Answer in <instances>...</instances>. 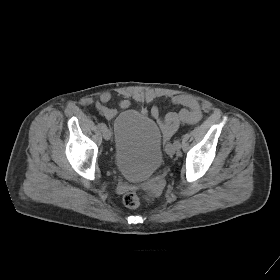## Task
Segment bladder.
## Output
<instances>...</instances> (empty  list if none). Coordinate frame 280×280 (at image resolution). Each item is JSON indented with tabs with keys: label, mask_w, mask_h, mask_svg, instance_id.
<instances>
[{
	"label": "bladder",
	"mask_w": 280,
	"mask_h": 280,
	"mask_svg": "<svg viewBox=\"0 0 280 280\" xmlns=\"http://www.w3.org/2000/svg\"><path fill=\"white\" fill-rule=\"evenodd\" d=\"M113 128V160L118 171L137 180L153 175L163 161L158 123L136 110H126L115 118Z\"/></svg>",
	"instance_id": "bladder-1"
}]
</instances>
